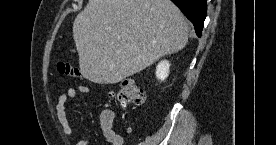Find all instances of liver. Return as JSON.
Here are the masks:
<instances>
[{"label":"liver","instance_id":"6515ba94","mask_svg":"<svg viewBox=\"0 0 276 145\" xmlns=\"http://www.w3.org/2000/svg\"><path fill=\"white\" fill-rule=\"evenodd\" d=\"M73 38L83 77L115 84L182 50L188 24L170 0H89Z\"/></svg>","mask_w":276,"mask_h":145}]
</instances>
